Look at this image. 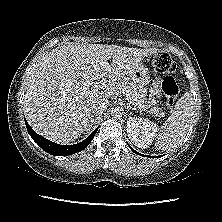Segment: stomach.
Listing matches in <instances>:
<instances>
[{
	"mask_svg": "<svg viewBox=\"0 0 222 222\" xmlns=\"http://www.w3.org/2000/svg\"><path fill=\"white\" fill-rule=\"evenodd\" d=\"M126 77L138 87H143L150 82V72L143 64H138Z\"/></svg>",
	"mask_w": 222,
	"mask_h": 222,
	"instance_id": "1",
	"label": "stomach"
}]
</instances>
